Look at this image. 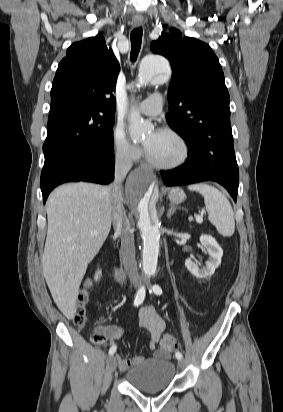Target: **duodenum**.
<instances>
[{"label":"duodenum","mask_w":283,"mask_h":412,"mask_svg":"<svg viewBox=\"0 0 283 412\" xmlns=\"http://www.w3.org/2000/svg\"><path fill=\"white\" fill-rule=\"evenodd\" d=\"M113 271H114V274H115V277H116L117 281L118 282H123V280H124L123 274L121 272L115 270V269H113Z\"/></svg>","instance_id":"410a0bca"}]
</instances>
